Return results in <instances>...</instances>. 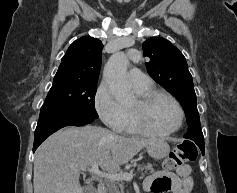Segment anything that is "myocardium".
Instances as JSON below:
<instances>
[{"label": "myocardium", "instance_id": "obj_1", "mask_svg": "<svg viewBox=\"0 0 237 193\" xmlns=\"http://www.w3.org/2000/svg\"><path fill=\"white\" fill-rule=\"evenodd\" d=\"M158 97H166L169 100H171L174 103V105L176 106L178 113H179L178 124L174 128L167 130V131L154 130V129L148 127L142 121L143 111ZM138 104H139V108L138 109L131 108L130 114H131V120H132L133 126L135 127V129L138 132H140L142 134L149 135V136H156V137L169 136V135H172V134L178 132L184 123L185 114H184L183 107L181 106L180 102L173 95H171L168 92L151 91L147 94L139 96Z\"/></svg>", "mask_w": 237, "mask_h": 193}]
</instances>
